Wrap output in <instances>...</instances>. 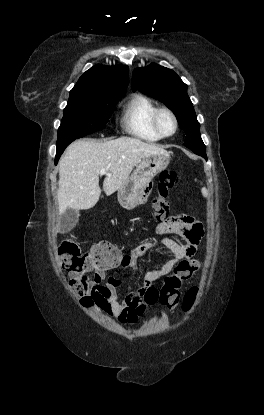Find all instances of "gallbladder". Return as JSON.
<instances>
[{"instance_id": "obj_1", "label": "gallbladder", "mask_w": 264, "mask_h": 415, "mask_svg": "<svg viewBox=\"0 0 264 415\" xmlns=\"http://www.w3.org/2000/svg\"><path fill=\"white\" fill-rule=\"evenodd\" d=\"M79 210L67 209L61 216L60 231L62 233L72 230L79 220Z\"/></svg>"}]
</instances>
